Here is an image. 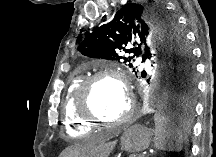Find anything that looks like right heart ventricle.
Listing matches in <instances>:
<instances>
[{
    "label": "right heart ventricle",
    "mask_w": 216,
    "mask_h": 157,
    "mask_svg": "<svg viewBox=\"0 0 216 157\" xmlns=\"http://www.w3.org/2000/svg\"><path fill=\"white\" fill-rule=\"evenodd\" d=\"M82 81L83 77L81 75L72 77L64 91L61 102L64 129L72 137L88 135L93 129L91 124L78 116L75 109L76 92Z\"/></svg>",
    "instance_id": "1"
}]
</instances>
